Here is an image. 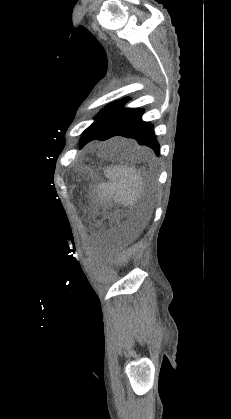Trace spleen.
I'll return each instance as SVG.
<instances>
[{
  "mask_svg": "<svg viewBox=\"0 0 231 419\" xmlns=\"http://www.w3.org/2000/svg\"><path fill=\"white\" fill-rule=\"evenodd\" d=\"M109 179L107 184L98 188L101 198L114 199L125 206H133L144 191V179L140 171L133 166H114L105 170Z\"/></svg>",
  "mask_w": 231,
  "mask_h": 419,
  "instance_id": "1",
  "label": "spleen"
}]
</instances>
